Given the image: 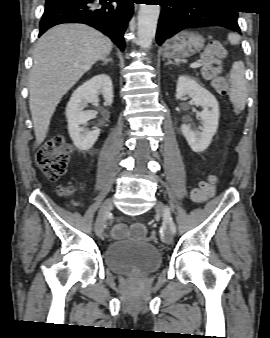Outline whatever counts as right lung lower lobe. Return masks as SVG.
<instances>
[{"mask_svg": "<svg viewBox=\"0 0 270 338\" xmlns=\"http://www.w3.org/2000/svg\"><path fill=\"white\" fill-rule=\"evenodd\" d=\"M134 0H46L40 22L42 35L61 23H83L107 36L123 51L124 32L133 13Z\"/></svg>", "mask_w": 270, "mask_h": 338, "instance_id": "98d812e1", "label": "right lung lower lobe"}]
</instances>
